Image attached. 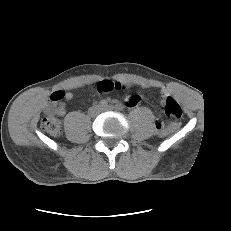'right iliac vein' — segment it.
<instances>
[{
	"label": "right iliac vein",
	"instance_id": "1",
	"mask_svg": "<svg viewBox=\"0 0 231 231\" xmlns=\"http://www.w3.org/2000/svg\"><path fill=\"white\" fill-rule=\"evenodd\" d=\"M99 109L98 108H95L94 111L97 112Z\"/></svg>",
	"mask_w": 231,
	"mask_h": 231
}]
</instances>
